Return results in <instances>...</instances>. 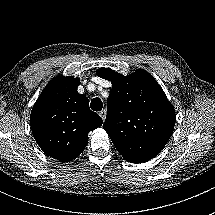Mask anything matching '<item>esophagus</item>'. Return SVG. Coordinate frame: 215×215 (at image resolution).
<instances>
[{"mask_svg":"<svg viewBox=\"0 0 215 215\" xmlns=\"http://www.w3.org/2000/svg\"><path fill=\"white\" fill-rule=\"evenodd\" d=\"M100 117L102 118V120L104 121L106 118V110L103 109L100 113H99Z\"/></svg>","mask_w":215,"mask_h":215,"instance_id":"obj_1","label":"esophagus"}]
</instances>
